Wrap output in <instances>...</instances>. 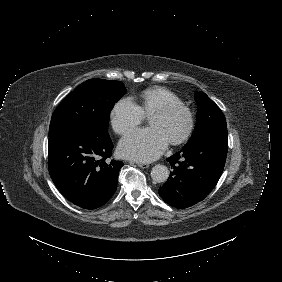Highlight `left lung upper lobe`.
Wrapping results in <instances>:
<instances>
[{"mask_svg":"<svg viewBox=\"0 0 282 282\" xmlns=\"http://www.w3.org/2000/svg\"><path fill=\"white\" fill-rule=\"evenodd\" d=\"M198 106L197 120L194 132L190 139L204 131L220 126H226V120L221 109L203 92L195 94Z\"/></svg>","mask_w":282,"mask_h":282,"instance_id":"5c2ea615","label":"left lung upper lobe"}]
</instances>
